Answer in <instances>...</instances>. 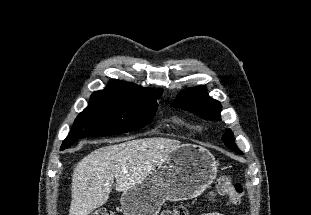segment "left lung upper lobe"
<instances>
[{
    "mask_svg": "<svg viewBox=\"0 0 311 215\" xmlns=\"http://www.w3.org/2000/svg\"><path fill=\"white\" fill-rule=\"evenodd\" d=\"M176 105L181 109L198 114L205 119H221L220 103L207 95V90L204 86L189 88L182 91L176 99ZM222 140L228 148L237 153H241L235 144L233 133L230 129L222 136Z\"/></svg>",
    "mask_w": 311,
    "mask_h": 215,
    "instance_id": "left-lung-upper-lobe-1",
    "label": "left lung upper lobe"
}]
</instances>
